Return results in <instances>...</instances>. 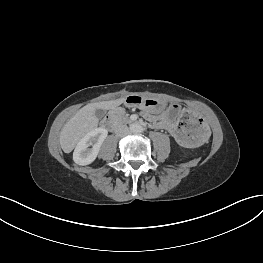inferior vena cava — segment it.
Listing matches in <instances>:
<instances>
[{
    "label": "inferior vena cava",
    "mask_w": 263,
    "mask_h": 263,
    "mask_svg": "<svg viewBox=\"0 0 263 263\" xmlns=\"http://www.w3.org/2000/svg\"><path fill=\"white\" fill-rule=\"evenodd\" d=\"M115 133L119 137H124L130 133V129L126 125H120L116 128Z\"/></svg>",
    "instance_id": "inferior-vena-cava-1"
}]
</instances>
